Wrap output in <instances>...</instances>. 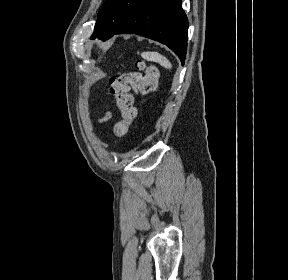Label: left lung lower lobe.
<instances>
[{"instance_id":"left-lung-lower-lobe-1","label":"left lung lower lobe","mask_w":288,"mask_h":280,"mask_svg":"<svg viewBox=\"0 0 288 280\" xmlns=\"http://www.w3.org/2000/svg\"><path fill=\"white\" fill-rule=\"evenodd\" d=\"M187 30L188 19L181 0H141L113 35L134 33L158 41L169 47L184 65Z\"/></svg>"}]
</instances>
